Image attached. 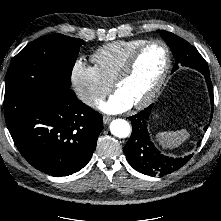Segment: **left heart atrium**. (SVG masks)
<instances>
[{"instance_id":"39dd6f15","label":"left heart atrium","mask_w":221,"mask_h":221,"mask_svg":"<svg viewBox=\"0 0 221 221\" xmlns=\"http://www.w3.org/2000/svg\"><path fill=\"white\" fill-rule=\"evenodd\" d=\"M133 106V103L119 90H117L108 101L101 102L99 107L107 113L123 112Z\"/></svg>"}]
</instances>
